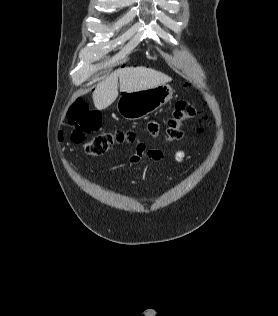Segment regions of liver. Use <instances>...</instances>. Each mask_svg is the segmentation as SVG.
Wrapping results in <instances>:
<instances>
[{
    "instance_id": "6515ba94",
    "label": "liver",
    "mask_w": 278,
    "mask_h": 316,
    "mask_svg": "<svg viewBox=\"0 0 278 316\" xmlns=\"http://www.w3.org/2000/svg\"><path fill=\"white\" fill-rule=\"evenodd\" d=\"M118 79L120 91L131 93L153 88L171 81L167 75L146 67H126L111 73L97 85L93 92V102L97 109L110 106L118 97Z\"/></svg>"
}]
</instances>
